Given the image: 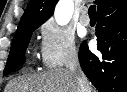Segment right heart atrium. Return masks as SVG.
<instances>
[{
	"instance_id": "d8ad5b80",
	"label": "right heart atrium",
	"mask_w": 127,
	"mask_h": 92,
	"mask_svg": "<svg viewBox=\"0 0 127 92\" xmlns=\"http://www.w3.org/2000/svg\"><path fill=\"white\" fill-rule=\"evenodd\" d=\"M74 35L67 29L47 22L41 27L40 59L46 69H58L77 59Z\"/></svg>"
}]
</instances>
